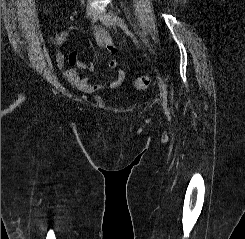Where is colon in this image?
Segmentation results:
<instances>
[{"label":"colon","mask_w":245,"mask_h":239,"mask_svg":"<svg viewBox=\"0 0 245 239\" xmlns=\"http://www.w3.org/2000/svg\"><path fill=\"white\" fill-rule=\"evenodd\" d=\"M151 83V79L148 76H139L135 79L134 85L137 90L144 91L146 90Z\"/></svg>","instance_id":"colon-1"}]
</instances>
